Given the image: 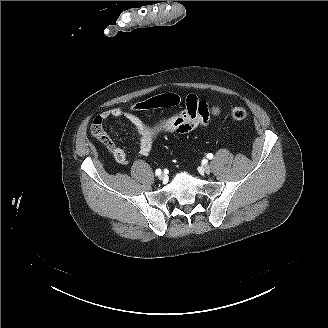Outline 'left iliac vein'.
I'll return each mask as SVG.
<instances>
[{"mask_svg":"<svg viewBox=\"0 0 328 328\" xmlns=\"http://www.w3.org/2000/svg\"><path fill=\"white\" fill-rule=\"evenodd\" d=\"M203 170L206 174H209L211 172V167L208 164H206L203 166Z\"/></svg>","mask_w":328,"mask_h":328,"instance_id":"4c4485c4","label":"left iliac vein"}]
</instances>
